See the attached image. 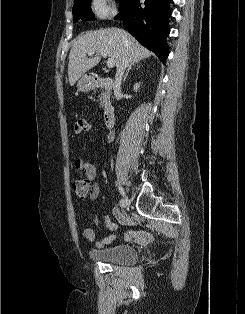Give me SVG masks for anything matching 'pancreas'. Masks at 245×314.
Returning a JSON list of instances; mask_svg holds the SVG:
<instances>
[{
    "mask_svg": "<svg viewBox=\"0 0 245 314\" xmlns=\"http://www.w3.org/2000/svg\"><path fill=\"white\" fill-rule=\"evenodd\" d=\"M110 103V94L107 89L103 90L100 95V106L106 107Z\"/></svg>",
    "mask_w": 245,
    "mask_h": 314,
    "instance_id": "1",
    "label": "pancreas"
}]
</instances>
